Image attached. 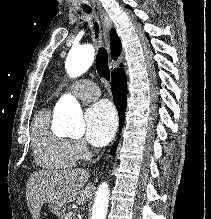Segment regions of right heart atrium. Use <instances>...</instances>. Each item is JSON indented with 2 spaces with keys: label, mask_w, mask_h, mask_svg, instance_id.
<instances>
[{
  "label": "right heart atrium",
  "mask_w": 211,
  "mask_h": 219,
  "mask_svg": "<svg viewBox=\"0 0 211 219\" xmlns=\"http://www.w3.org/2000/svg\"><path fill=\"white\" fill-rule=\"evenodd\" d=\"M70 143L78 159H85L89 155V150L82 140H71Z\"/></svg>",
  "instance_id": "right-heart-atrium-1"
}]
</instances>
